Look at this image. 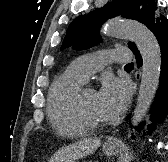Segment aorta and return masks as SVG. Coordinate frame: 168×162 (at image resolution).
<instances>
[{
    "label": "aorta",
    "instance_id": "1",
    "mask_svg": "<svg viewBox=\"0 0 168 162\" xmlns=\"http://www.w3.org/2000/svg\"><path fill=\"white\" fill-rule=\"evenodd\" d=\"M103 33L110 37L131 38L142 56L141 83L132 116V125L137 126L149 109L159 84L161 51L158 41L145 25L123 19L109 21Z\"/></svg>",
    "mask_w": 168,
    "mask_h": 162
}]
</instances>
